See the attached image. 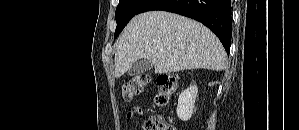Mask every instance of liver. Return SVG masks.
Segmentation results:
<instances>
[{"label": "liver", "instance_id": "1", "mask_svg": "<svg viewBox=\"0 0 299 130\" xmlns=\"http://www.w3.org/2000/svg\"><path fill=\"white\" fill-rule=\"evenodd\" d=\"M146 59L157 74L187 69L223 70L227 55L203 24L165 11L135 16L117 41L115 77L122 76L137 60Z\"/></svg>", "mask_w": 299, "mask_h": 130}]
</instances>
